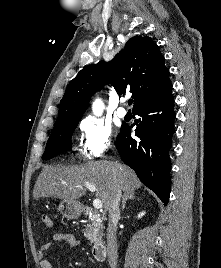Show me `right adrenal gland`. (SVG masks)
<instances>
[{"label": "right adrenal gland", "instance_id": "1", "mask_svg": "<svg viewBox=\"0 0 221 268\" xmlns=\"http://www.w3.org/2000/svg\"><path fill=\"white\" fill-rule=\"evenodd\" d=\"M129 199H136V195L134 191L124 192L123 197H122V204H121L122 211L125 209L126 202Z\"/></svg>", "mask_w": 221, "mask_h": 268}]
</instances>
